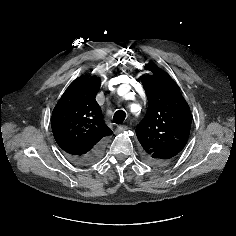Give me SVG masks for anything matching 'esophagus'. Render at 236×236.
Wrapping results in <instances>:
<instances>
[{
  "instance_id": "esophagus-1",
  "label": "esophagus",
  "mask_w": 236,
  "mask_h": 236,
  "mask_svg": "<svg viewBox=\"0 0 236 236\" xmlns=\"http://www.w3.org/2000/svg\"><path fill=\"white\" fill-rule=\"evenodd\" d=\"M125 130H127V126H125V125H118V126L116 127V131H117V132H123V131H125Z\"/></svg>"
}]
</instances>
